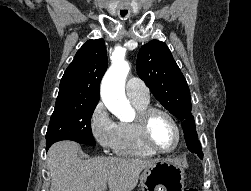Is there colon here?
<instances>
[{
    "instance_id": "obj_1",
    "label": "colon",
    "mask_w": 251,
    "mask_h": 191,
    "mask_svg": "<svg viewBox=\"0 0 251 191\" xmlns=\"http://www.w3.org/2000/svg\"><path fill=\"white\" fill-rule=\"evenodd\" d=\"M188 191H198L196 188H190Z\"/></svg>"
}]
</instances>
